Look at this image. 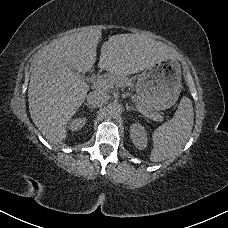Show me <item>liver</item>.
<instances>
[{
  "label": "liver",
  "instance_id": "liver-1",
  "mask_svg": "<svg viewBox=\"0 0 228 228\" xmlns=\"http://www.w3.org/2000/svg\"><path fill=\"white\" fill-rule=\"evenodd\" d=\"M101 34L99 29H90L62 37L39 51L31 62L30 116L52 144L66 138V125L89 91L88 85L71 69L83 74L93 70ZM176 57L174 49L143 34H117L103 43L98 67L127 76Z\"/></svg>",
  "mask_w": 228,
  "mask_h": 228
}]
</instances>
